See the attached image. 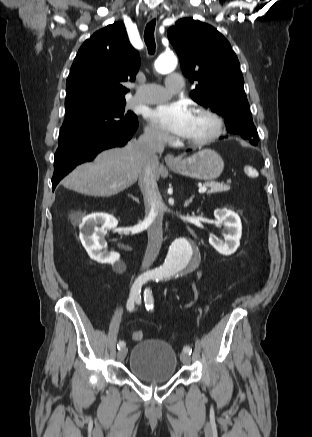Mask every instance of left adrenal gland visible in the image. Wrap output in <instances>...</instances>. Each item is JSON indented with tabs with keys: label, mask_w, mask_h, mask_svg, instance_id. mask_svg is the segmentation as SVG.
I'll return each instance as SVG.
<instances>
[{
	"label": "left adrenal gland",
	"mask_w": 312,
	"mask_h": 437,
	"mask_svg": "<svg viewBox=\"0 0 312 437\" xmlns=\"http://www.w3.org/2000/svg\"><path fill=\"white\" fill-rule=\"evenodd\" d=\"M193 197H194V196H191V197L189 198V200H187V201L185 202V204H184L185 207H187L190 203H192V201H193Z\"/></svg>",
	"instance_id": "left-adrenal-gland-1"
}]
</instances>
